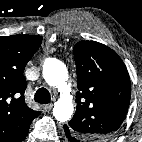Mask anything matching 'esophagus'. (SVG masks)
I'll use <instances>...</instances> for the list:
<instances>
[{
  "label": "esophagus",
  "mask_w": 142,
  "mask_h": 142,
  "mask_svg": "<svg viewBox=\"0 0 142 142\" xmlns=\"http://www.w3.org/2000/svg\"><path fill=\"white\" fill-rule=\"evenodd\" d=\"M52 107H53V104L50 103V104L44 105L43 109L45 112H49V111H51Z\"/></svg>",
  "instance_id": "obj_1"
}]
</instances>
